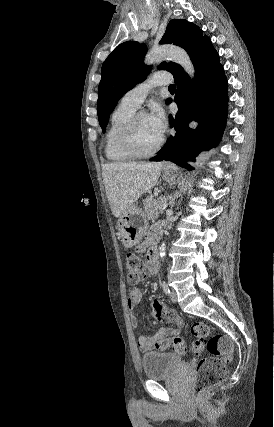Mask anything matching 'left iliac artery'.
I'll return each mask as SVG.
<instances>
[{
  "instance_id": "obj_1",
  "label": "left iliac artery",
  "mask_w": 274,
  "mask_h": 427,
  "mask_svg": "<svg viewBox=\"0 0 274 427\" xmlns=\"http://www.w3.org/2000/svg\"><path fill=\"white\" fill-rule=\"evenodd\" d=\"M161 286H162V289H163L164 293H165L166 295H169V294H170V289H169L168 284H167L165 281H163V282L161 283Z\"/></svg>"
}]
</instances>
